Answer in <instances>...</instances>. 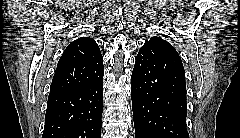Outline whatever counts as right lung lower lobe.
Wrapping results in <instances>:
<instances>
[{"instance_id":"obj_1","label":"right lung lower lobe","mask_w":240,"mask_h":138,"mask_svg":"<svg viewBox=\"0 0 240 138\" xmlns=\"http://www.w3.org/2000/svg\"><path fill=\"white\" fill-rule=\"evenodd\" d=\"M103 75L94 83L48 97L42 138H101Z\"/></svg>"}]
</instances>
